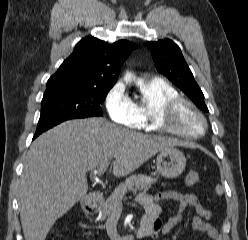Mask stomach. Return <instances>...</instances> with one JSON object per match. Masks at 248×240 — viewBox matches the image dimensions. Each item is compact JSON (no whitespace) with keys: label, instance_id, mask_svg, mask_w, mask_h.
Instances as JSON below:
<instances>
[{"label":"stomach","instance_id":"obj_1","mask_svg":"<svg viewBox=\"0 0 248 240\" xmlns=\"http://www.w3.org/2000/svg\"><path fill=\"white\" fill-rule=\"evenodd\" d=\"M157 171L165 178L178 177L186 167L184 154L172 148L168 151H161L156 158Z\"/></svg>","mask_w":248,"mask_h":240}]
</instances>
